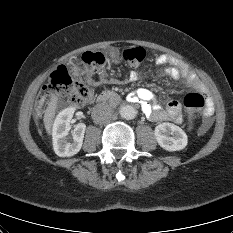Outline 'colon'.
Segmentation results:
<instances>
[{"label":"colon","mask_w":233,"mask_h":233,"mask_svg":"<svg viewBox=\"0 0 233 233\" xmlns=\"http://www.w3.org/2000/svg\"><path fill=\"white\" fill-rule=\"evenodd\" d=\"M146 56L142 47H128L117 51L116 57L131 66L139 65ZM82 61L91 74H95L105 63V57L98 52H86ZM91 89L73 78L66 67H59L50 77L49 82L40 90L36 109L39 113L47 110L51 101L56 97H64L77 107L86 105L92 99ZM183 104L190 116L201 111L206 106V100L201 93H189L184 97Z\"/></svg>","instance_id":"colon-1"}]
</instances>
